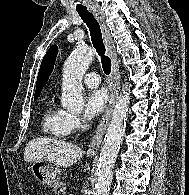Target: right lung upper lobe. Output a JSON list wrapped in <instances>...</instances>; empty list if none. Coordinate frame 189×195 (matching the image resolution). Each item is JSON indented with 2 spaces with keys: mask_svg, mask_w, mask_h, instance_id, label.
<instances>
[{
  "mask_svg": "<svg viewBox=\"0 0 189 195\" xmlns=\"http://www.w3.org/2000/svg\"><path fill=\"white\" fill-rule=\"evenodd\" d=\"M57 53H58V47L54 45L50 47V49L47 51L46 55L42 60L38 77H37V82H36L37 88L35 91V98L40 95L42 88L46 85L48 81V78L55 64Z\"/></svg>",
  "mask_w": 189,
  "mask_h": 195,
  "instance_id": "1",
  "label": "right lung upper lobe"
}]
</instances>
